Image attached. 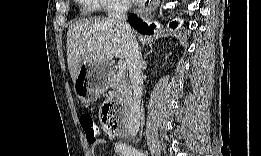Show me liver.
I'll use <instances>...</instances> for the list:
<instances>
[{"label": "liver", "instance_id": "liver-1", "mask_svg": "<svg viewBox=\"0 0 261 156\" xmlns=\"http://www.w3.org/2000/svg\"><path fill=\"white\" fill-rule=\"evenodd\" d=\"M125 46L121 31L107 18L91 17L71 24L67 32V63L73 82L82 65L125 57Z\"/></svg>", "mask_w": 261, "mask_h": 156}]
</instances>
